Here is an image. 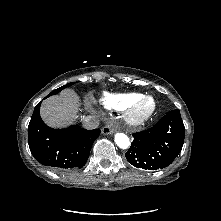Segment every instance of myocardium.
Returning a JSON list of instances; mask_svg holds the SVG:
<instances>
[{
	"instance_id": "obj_1",
	"label": "myocardium",
	"mask_w": 221,
	"mask_h": 221,
	"mask_svg": "<svg viewBox=\"0 0 221 221\" xmlns=\"http://www.w3.org/2000/svg\"><path fill=\"white\" fill-rule=\"evenodd\" d=\"M145 101H152V108L149 112L144 115H137L136 110L137 108ZM157 110V102L156 100L149 95H143L133 102H131L126 108L124 109L123 113V120L124 122L133 128L140 127L148 122L155 114Z\"/></svg>"
}]
</instances>
